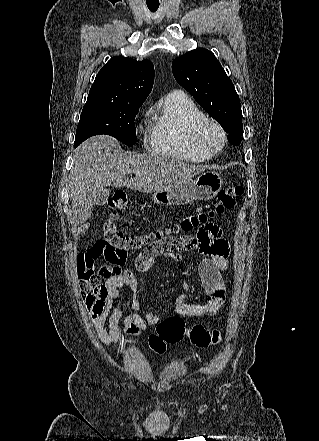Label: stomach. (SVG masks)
<instances>
[{"instance_id": "stomach-1", "label": "stomach", "mask_w": 319, "mask_h": 441, "mask_svg": "<svg viewBox=\"0 0 319 441\" xmlns=\"http://www.w3.org/2000/svg\"><path fill=\"white\" fill-rule=\"evenodd\" d=\"M223 186L221 175L205 171L196 179H186L169 189L154 192L152 198L160 205H185L193 200H209L215 197Z\"/></svg>"}]
</instances>
